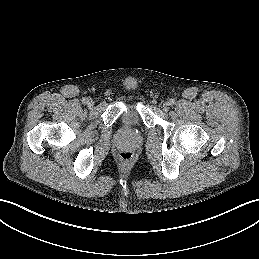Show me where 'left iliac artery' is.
I'll return each mask as SVG.
<instances>
[{
    "label": "left iliac artery",
    "instance_id": "44dca946",
    "mask_svg": "<svg viewBox=\"0 0 259 259\" xmlns=\"http://www.w3.org/2000/svg\"><path fill=\"white\" fill-rule=\"evenodd\" d=\"M169 104L170 105H174L175 104V100L174 99H170Z\"/></svg>",
    "mask_w": 259,
    "mask_h": 259
}]
</instances>
